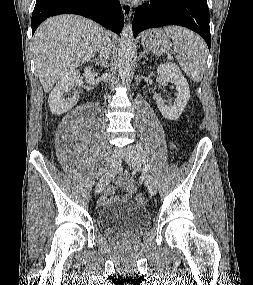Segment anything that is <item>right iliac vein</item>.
<instances>
[{"instance_id": "right-iliac-vein-1", "label": "right iliac vein", "mask_w": 253, "mask_h": 285, "mask_svg": "<svg viewBox=\"0 0 253 285\" xmlns=\"http://www.w3.org/2000/svg\"><path fill=\"white\" fill-rule=\"evenodd\" d=\"M120 163H121L120 156L113 157L105 175L100 179L99 183L96 186L95 192L97 194L102 192L106 187V185L112 180V178L114 177L115 173L117 172L120 166Z\"/></svg>"}]
</instances>
